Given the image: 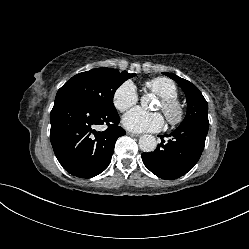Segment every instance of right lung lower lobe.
<instances>
[{"label":"right lung lower lobe","instance_id":"1","mask_svg":"<svg viewBox=\"0 0 249 249\" xmlns=\"http://www.w3.org/2000/svg\"><path fill=\"white\" fill-rule=\"evenodd\" d=\"M50 122V140L58 161L80 178L103 172L111 162L117 138L126 134L118 126L116 110L96 109L68 94L56 95ZM103 124L108 126L105 131L95 130Z\"/></svg>","mask_w":249,"mask_h":249}]
</instances>
